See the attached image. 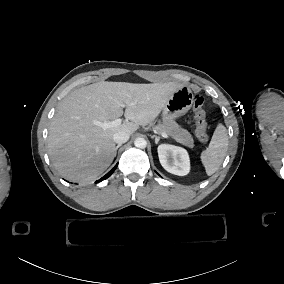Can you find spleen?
<instances>
[{
	"label": "spleen",
	"mask_w": 284,
	"mask_h": 284,
	"mask_svg": "<svg viewBox=\"0 0 284 284\" xmlns=\"http://www.w3.org/2000/svg\"><path fill=\"white\" fill-rule=\"evenodd\" d=\"M228 149V134L224 125L219 123L213 133L208 148L201 153V161L208 176L213 175L222 164Z\"/></svg>",
	"instance_id": "spleen-1"
}]
</instances>
